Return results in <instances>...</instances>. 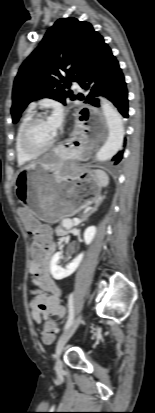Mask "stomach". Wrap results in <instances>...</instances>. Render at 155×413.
<instances>
[{
	"label": "stomach",
	"instance_id": "stomach-1",
	"mask_svg": "<svg viewBox=\"0 0 155 413\" xmlns=\"http://www.w3.org/2000/svg\"><path fill=\"white\" fill-rule=\"evenodd\" d=\"M101 187L94 171L64 168L51 155L20 169L15 192L37 218L56 223L97 203Z\"/></svg>",
	"mask_w": 155,
	"mask_h": 413
}]
</instances>
